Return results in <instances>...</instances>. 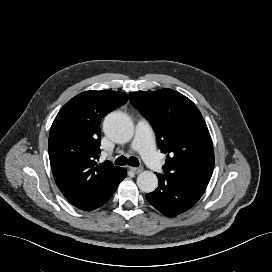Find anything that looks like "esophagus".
Returning <instances> with one entry per match:
<instances>
[{
	"instance_id": "34e87169",
	"label": "esophagus",
	"mask_w": 272,
	"mask_h": 272,
	"mask_svg": "<svg viewBox=\"0 0 272 272\" xmlns=\"http://www.w3.org/2000/svg\"><path fill=\"white\" fill-rule=\"evenodd\" d=\"M131 171H133L135 174H139L143 171L142 167H129Z\"/></svg>"
}]
</instances>
